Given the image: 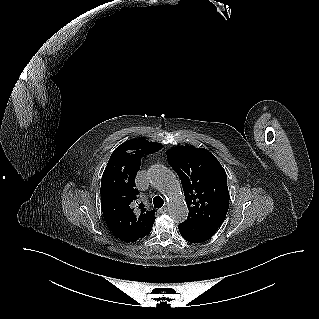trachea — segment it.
<instances>
[{
    "label": "trachea",
    "mask_w": 319,
    "mask_h": 319,
    "mask_svg": "<svg viewBox=\"0 0 319 319\" xmlns=\"http://www.w3.org/2000/svg\"><path fill=\"white\" fill-rule=\"evenodd\" d=\"M153 204L155 208H161L164 204V201L160 196H155L153 198Z\"/></svg>",
    "instance_id": "trachea-1"
}]
</instances>
